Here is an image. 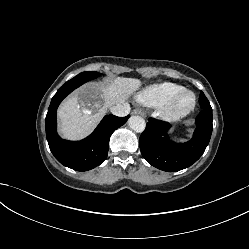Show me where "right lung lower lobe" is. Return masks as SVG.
Masks as SVG:
<instances>
[{
  "instance_id": "1",
  "label": "right lung lower lobe",
  "mask_w": 249,
  "mask_h": 249,
  "mask_svg": "<svg viewBox=\"0 0 249 249\" xmlns=\"http://www.w3.org/2000/svg\"><path fill=\"white\" fill-rule=\"evenodd\" d=\"M84 82L86 81L83 79L75 78L67 81L52 98L45 119L46 137L52 154L61 164L77 171L93 169L106 159L110 136L129 118L109 114L87 138L78 142L61 139L56 131L57 107L69 93Z\"/></svg>"
}]
</instances>
